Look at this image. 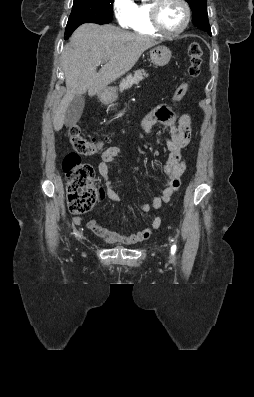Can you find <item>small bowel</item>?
<instances>
[{"mask_svg": "<svg viewBox=\"0 0 254 397\" xmlns=\"http://www.w3.org/2000/svg\"><path fill=\"white\" fill-rule=\"evenodd\" d=\"M155 124L167 127L170 133V136L164 140L165 146L169 151L164 165L166 182L151 204L144 203L139 206V210L143 213H147L151 209H158L163 202H168L170 197L179 189L181 176L186 170V161L182 150L189 144L191 139L190 116L186 113L174 111L166 104L156 106L143 118L141 122L142 132L149 134ZM119 153L120 148L112 146L107 148L101 155V160L98 163V172L103 180V187L100 188L99 202L108 198L116 203H122V199L111 181L109 170V164L115 160ZM73 221L76 225H81L83 219L74 217ZM160 223V218L155 217L150 226L130 234H122L112 230L94 219L87 222V228L107 243L135 244L147 240L153 230L160 226Z\"/></svg>", "mask_w": 254, "mask_h": 397, "instance_id": "c3829d8e", "label": "small bowel"}]
</instances>
